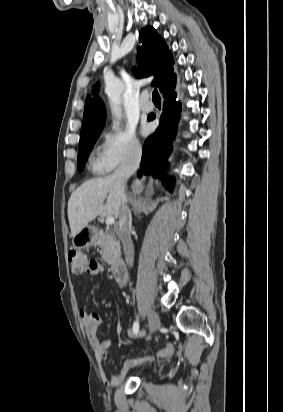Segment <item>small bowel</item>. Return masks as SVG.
<instances>
[{
	"mask_svg": "<svg viewBox=\"0 0 283 412\" xmlns=\"http://www.w3.org/2000/svg\"><path fill=\"white\" fill-rule=\"evenodd\" d=\"M102 273L103 267L98 263L97 269L95 271L90 272L89 274L95 277H100ZM79 317L85 329L88 340L95 352L96 359L98 363H102L107 359L108 352L112 345L111 341L109 340L101 341L99 339L98 329L102 324V317L97 313L88 312L85 309L79 310ZM127 333L129 336H133L134 331L133 329H129ZM174 352V346L172 344H168L159 351L158 356L160 358H169L173 356ZM148 360L149 358L147 357L129 358L123 363L120 373L117 376L108 378L103 369H101V376L109 385H118L123 380V378L125 377L130 368L142 364Z\"/></svg>",
	"mask_w": 283,
	"mask_h": 412,
	"instance_id": "1",
	"label": "small bowel"
}]
</instances>
